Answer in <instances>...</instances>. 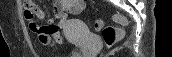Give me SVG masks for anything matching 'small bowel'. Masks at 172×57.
Instances as JSON below:
<instances>
[{"label":"small bowel","mask_w":172,"mask_h":57,"mask_svg":"<svg viewBox=\"0 0 172 57\" xmlns=\"http://www.w3.org/2000/svg\"><path fill=\"white\" fill-rule=\"evenodd\" d=\"M25 8L28 6L36 7L31 0L24 1ZM55 13L45 24H37L35 18L44 19L45 13L38 9L35 16L25 14V19L29 24L32 32L35 33L40 43L53 47L56 43H63L62 29L66 26V15L68 13H78L83 8L81 0H56L54 1ZM60 20L59 23L56 21Z\"/></svg>","instance_id":"small-bowel-1"}]
</instances>
